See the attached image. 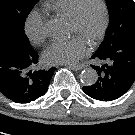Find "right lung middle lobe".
<instances>
[{"label":"right lung middle lobe","instance_id":"obj_1","mask_svg":"<svg viewBox=\"0 0 135 135\" xmlns=\"http://www.w3.org/2000/svg\"><path fill=\"white\" fill-rule=\"evenodd\" d=\"M38 0H0V31L13 34L23 44L31 47L24 32V22Z\"/></svg>","mask_w":135,"mask_h":135}]
</instances>
